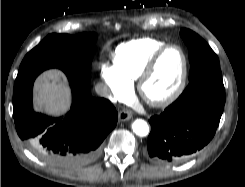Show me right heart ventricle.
<instances>
[{"instance_id":"right-heart-ventricle-1","label":"right heart ventricle","mask_w":245,"mask_h":187,"mask_svg":"<svg viewBox=\"0 0 245 187\" xmlns=\"http://www.w3.org/2000/svg\"><path fill=\"white\" fill-rule=\"evenodd\" d=\"M166 44L160 39L143 37L118 45L113 61L119 74L130 84L136 82L149 59Z\"/></svg>"}]
</instances>
